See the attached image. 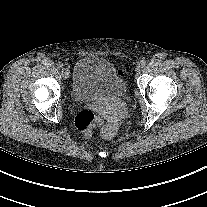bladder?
Instances as JSON below:
<instances>
[{"instance_id": "31cf9c89", "label": "bladder", "mask_w": 207, "mask_h": 207, "mask_svg": "<svg viewBox=\"0 0 207 207\" xmlns=\"http://www.w3.org/2000/svg\"><path fill=\"white\" fill-rule=\"evenodd\" d=\"M70 93L76 102L124 99L128 95V85L123 74L109 62L88 56L74 67Z\"/></svg>"}]
</instances>
